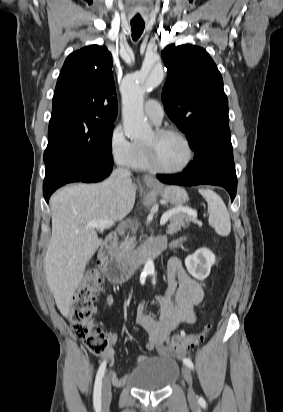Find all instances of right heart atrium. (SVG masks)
Here are the masks:
<instances>
[{"label":"right heart atrium","mask_w":283,"mask_h":412,"mask_svg":"<svg viewBox=\"0 0 283 412\" xmlns=\"http://www.w3.org/2000/svg\"><path fill=\"white\" fill-rule=\"evenodd\" d=\"M108 145L116 164L131 167L136 156V145L126 137L121 125H116L111 130Z\"/></svg>","instance_id":"d8ad5b80"}]
</instances>
